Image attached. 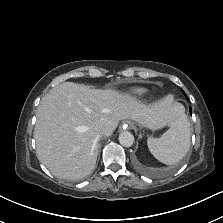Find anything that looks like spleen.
<instances>
[{"instance_id": "obj_1", "label": "spleen", "mask_w": 223, "mask_h": 223, "mask_svg": "<svg viewBox=\"0 0 223 223\" xmlns=\"http://www.w3.org/2000/svg\"><path fill=\"white\" fill-rule=\"evenodd\" d=\"M191 128L187 115L179 111L170 128L160 137L147 139L151 154L166 165L178 163L189 151Z\"/></svg>"}]
</instances>
